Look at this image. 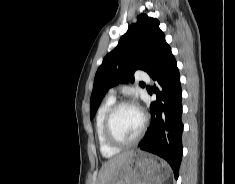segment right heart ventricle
Wrapping results in <instances>:
<instances>
[{"instance_id":"right-heart-ventricle-1","label":"right heart ventricle","mask_w":235,"mask_h":184,"mask_svg":"<svg viewBox=\"0 0 235 184\" xmlns=\"http://www.w3.org/2000/svg\"><path fill=\"white\" fill-rule=\"evenodd\" d=\"M115 104L114 97H107L99 106L95 119V137L102 154L111 158L119 152V149L112 147L106 140L104 134V122L108 110Z\"/></svg>"}]
</instances>
